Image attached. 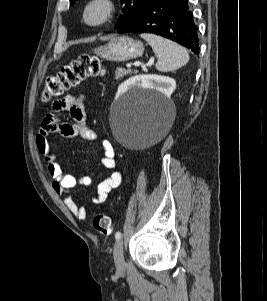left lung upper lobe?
<instances>
[{"mask_svg":"<svg viewBox=\"0 0 267 301\" xmlns=\"http://www.w3.org/2000/svg\"><path fill=\"white\" fill-rule=\"evenodd\" d=\"M148 1L149 0H120L121 4H123V14L119 17L115 29L131 22ZM74 2L75 0H70V4Z\"/></svg>","mask_w":267,"mask_h":301,"instance_id":"5c2ea615","label":"left lung upper lobe"}]
</instances>
